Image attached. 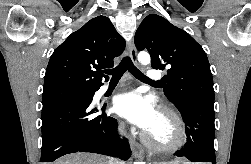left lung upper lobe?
<instances>
[{"label":"left lung upper lobe","instance_id":"5c2ea615","mask_svg":"<svg viewBox=\"0 0 251 164\" xmlns=\"http://www.w3.org/2000/svg\"><path fill=\"white\" fill-rule=\"evenodd\" d=\"M139 51L147 49L154 69H165L164 94L176 106L187 102L214 105L213 78L203 48L184 30L150 14L135 34Z\"/></svg>","mask_w":251,"mask_h":164}]
</instances>
